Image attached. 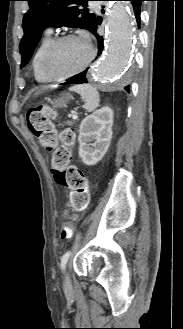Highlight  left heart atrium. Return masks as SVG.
Wrapping results in <instances>:
<instances>
[{"instance_id":"1","label":"left heart atrium","mask_w":183,"mask_h":329,"mask_svg":"<svg viewBox=\"0 0 183 329\" xmlns=\"http://www.w3.org/2000/svg\"><path fill=\"white\" fill-rule=\"evenodd\" d=\"M84 42H88V39H87V37H84L83 39H82Z\"/></svg>"}]
</instances>
